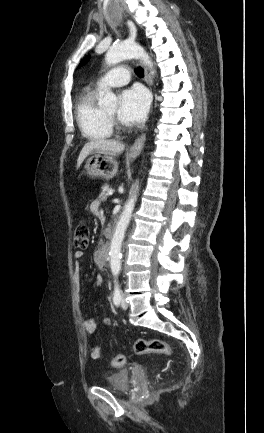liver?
<instances>
[{
    "label": "liver",
    "mask_w": 264,
    "mask_h": 433,
    "mask_svg": "<svg viewBox=\"0 0 264 433\" xmlns=\"http://www.w3.org/2000/svg\"><path fill=\"white\" fill-rule=\"evenodd\" d=\"M125 149V145L121 142L106 139H97L89 141L82 148L77 159V168L80 167L84 159L94 151L102 154L118 155Z\"/></svg>",
    "instance_id": "liver-1"
}]
</instances>
